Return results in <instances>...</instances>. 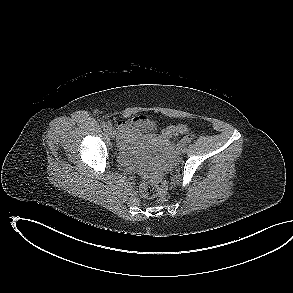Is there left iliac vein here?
<instances>
[{
  "instance_id": "1",
  "label": "left iliac vein",
  "mask_w": 293,
  "mask_h": 293,
  "mask_svg": "<svg viewBox=\"0 0 293 293\" xmlns=\"http://www.w3.org/2000/svg\"><path fill=\"white\" fill-rule=\"evenodd\" d=\"M180 151H181V153L184 154V153H186L187 148L184 145H182Z\"/></svg>"
}]
</instances>
